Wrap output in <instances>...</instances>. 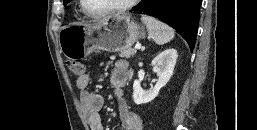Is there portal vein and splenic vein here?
Returning <instances> with one entry per match:
<instances>
[{
	"label": "portal vein and splenic vein",
	"instance_id": "1",
	"mask_svg": "<svg viewBox=\"0 0 257 130\" xmlns=\"http://www.w3.org/2000/svg\"><path fill=\"white\" fill-rule=\"evenodd\" d=\"M136 49H141V45H136Z\"/></svg>",
	"mask_w": 257,
	"mask_h": 130
}]
</instances>
